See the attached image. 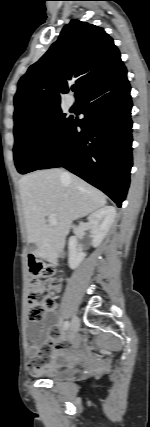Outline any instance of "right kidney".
<instances>
[{
  "label": "right kidney",
  "instance_id": "1",
  "mask_svg": "<svg viewBox=\"0 0 150 427\" xmlns=\"http://www.w3.org/2000/svg\"><path fill=\"white\" fill-rule=\"evenodd\" d=\"M116 217V210L112 206H105L88 217V226L92 234V246L98 247L106 237ZM77 238L69 239V260L68 264L71 269H76L85 258V253L77 247Z\"/></svg>",
  "mask_w": 150,
  "mask_h": 427
}]
</instances>
